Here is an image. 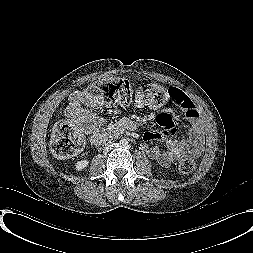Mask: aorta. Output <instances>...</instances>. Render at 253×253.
<instances>
[{
	"label": "aorta",
	"mask_w": 253,
	"mask_h": 253,
	"mask_svg": "<svg viewBox=\"0 0 253 253\" xmlns=\"http://www.w3.org/2000/svg\"><path fill=\"white\" fill-rule=\"evenodd\" d=\"M120 144H121V146H122V147H124V148H125V147H127V146H128V144H129V143H128V141H127V140H125V139H124V140H122V141H121V143H120Z\"/></svg>",
	"instance_id": "762f6f07"
}]
</instances>
